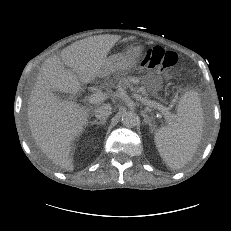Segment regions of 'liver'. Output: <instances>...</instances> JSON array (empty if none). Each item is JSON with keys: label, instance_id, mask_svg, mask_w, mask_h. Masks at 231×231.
I'll list each match as a JSON object with an SVG mask.
<instances>
[{"label": "liver", "instance_id": "obj_1", "mask_svg": "<svg viewBox=\"0 0 231 231\" xmlns=\"http://www.w3.org/2000/svg\"><path fill=\"white\" fill-rule=\"evenodd\" d=\"M120 39V35L90 36L67 46L60 56L49 57L42 65L28 100V124L39 149L62 169H74V141L83 133L96 106H81L54 92L76 94L82 89L81 83H93Z\"/></svg>", "mask_w": 231, "mask_h": 231}]
</instances>
